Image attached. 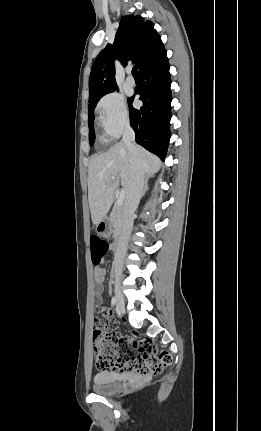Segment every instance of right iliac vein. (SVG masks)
Segmentation results:
<instances>
[{"instance_id":"1","label":"right iliac vein","mask_w":261,"mask_h":431,"mask_svg":"<svg viewBox=\"0 0 261 431\" xmlns=\"http://www.w3.org/2000/svg\"><path fill=\"white\" fill-rule=\"evenodd\" d=\"M115 299H116V308L119 314H123L125 312V303L124 297L121 291V284L119 280L115 282Z\"/></svg>"}]
</instances>
